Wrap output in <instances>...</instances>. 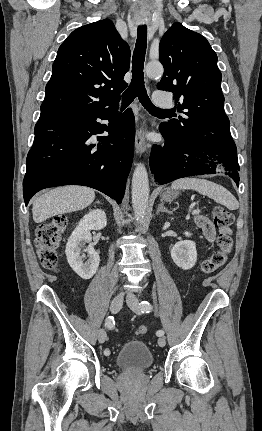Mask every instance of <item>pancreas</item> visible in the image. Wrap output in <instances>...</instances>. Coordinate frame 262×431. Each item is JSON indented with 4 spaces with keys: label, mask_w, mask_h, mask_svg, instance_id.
I'll return each instance as SVG.
<instances>
[{
    "label": "pancreas",
    "mask_w": 262,
    "mask_h": 431,
    "mask_svg": "<svg viewBox=\"0 0 262 431\" xmlns=\"http://www.w3.org/2000/svg\"><path fill=\"white\" fill-rule=\"evenodd\" d=\"M197 217L194 218L195 222H196Z\"/></svg>",
    "instance_id": "pancreas-1"
}]
</instances>
